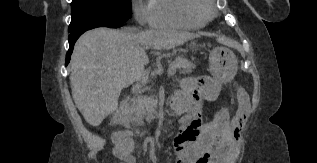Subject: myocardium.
<instances>
[{
    "instance_id": "f54148a6",
    "label": "myocardium",
    "mask_w": 317,
    "mask_h": 163,
    "mask_svg": "<svg viewBox=\"0 0 317 163\" xmlns=\"http://www.w3.org/2000/svg\"><path fill=\"white\" fill-rule=\"evenodd\" d=\"M188 8L191 12L201 14L206 19L215 16L213 0H190Z\"/></svg>"
}]
</instances>
